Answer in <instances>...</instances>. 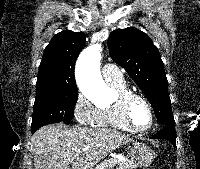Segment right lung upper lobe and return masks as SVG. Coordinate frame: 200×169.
I'll use <instances>...</instances> for the list:
<instances>
[{"label":"right lung upper lobe","mask_w":200,"mask_h":169,"mask_svg":"<svg viewBox=\"0 0 200 169\" xmlns=\"http://www.w3.org/2000/svg\"><path fill=\"white\" fill-rule=\"evenodd\" d=\"M85 41L83 32L62 31L53 37L40 63L37 92L77 89L74 69Z\"/></svg>","instance_id":"1"}]
</instances>
